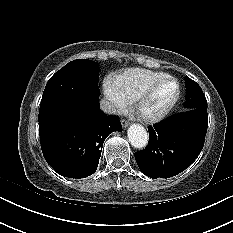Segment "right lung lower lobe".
I'll list each match as a JSON object with an SVG mask.
<instances>
[{"label":"right lung lower lobe","instance_id":"obj_1","mask_svg":"<svg viewBox=\"0 0 233 233\" xmlns=\"http://www.w3.org/2000/svg\"><path fill=\"white\" fill-rule=\"evenodd\" d=\"M122 131L117 116L107 117L99 96L81 92L74 117H56L39 124L43 156L60 175L85 178L98 166L105 138Z\"/></svg>","mask_w":233,"mask_h":233}]
</instances>
